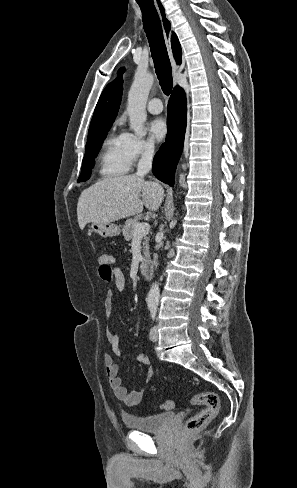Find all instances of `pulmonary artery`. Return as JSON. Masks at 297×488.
Segmentation results:
<instances>
[{"label": "pulmonary artery", "instance_id": "obj_1", "mask_svg": "<svg viewBox=\"0 0 297 488\" xmlns=\"http://www.w3.org/2000/svg\"><path fill=\"white\" fill-rule=\"evenodd\" d=\"M147 110L151 113V114H159L162 112L163 110V105L160 101V99L158 98H152L149 100L148 104H147Z\"/></svg>", "mask_w": 297, "mask_h": 488}]
</instances>
